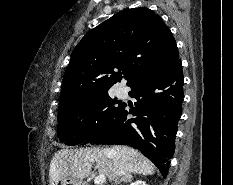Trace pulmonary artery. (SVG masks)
I'll return each instance as SVG.
<instances>
[{"label":"pulmonary artery","mask_w":233,"mask_h":185,"mask_svg":"<svg viewBox=\"0 0 233 185\" xmlns=\"http://www.w3.org/2000/svg\"><path fill=\"white\" fill-rule=\"evenodd\" d=\"M119 93H120V94H122V93H123V91H122V90H120V91H119Z\"/></svg>","instance_id":"pulmonary-artery-1"}]
</instances>
